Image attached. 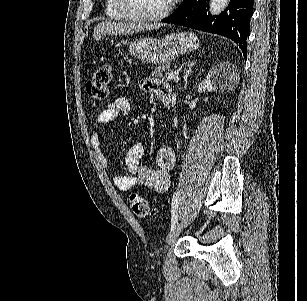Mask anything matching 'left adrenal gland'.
Instances as JSON below:
<instances>
[{
  "label": "left adrenal gland",
  "instance_id": "left-adrenal-gland-1",
  "mask_svg": "<svg viewBox=\"0 0 307 301\" xmlns=\"http://www.w3.org/2000/svg\"><path fill=\"white\" fill-rule=\"evenodd\" d=\"M197 60H190V62H188V64H186L185 68H184V74H183V82H184V88H186L187 84H188V76L190 74V72H192V68L193 66H195Z\"/></svg>",
  "mask_w": 307,
  "mask_h": 301
}]
</instances>
